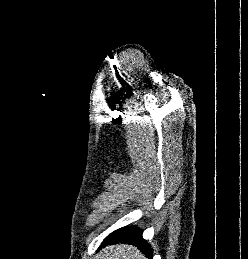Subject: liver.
Listing matches in <instances>:
<instances>
[{"label": "liver", "instance_id": "liver-1", "mask_svg": "<svg viewBox=\"0 0 248 259\" xmlns=\"http://www.w3.org/2000/svg\"><path fill=\"white\" fill-rule=\"evenodd\" d=\"M100 259H146L141 252L132 245L116 244L103 249Z\"/></svg>", "mask_w": 248, "mask_h": 259}]
</instances>
